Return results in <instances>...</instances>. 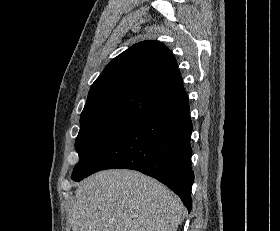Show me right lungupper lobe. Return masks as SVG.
Returning <instances> with one entry per match:
<instances>
[{"mask_svg": "<svg viewBox=\"0 0 280 231\" xmlns=\"http://www.w3.org/2000/svg\"><path fill=\"white\" fill-rule=\"evenodd\" d=\"M188 101L170 50L161 42L143 41L105 67L90 88L80 119L128 118L140 122Z\"/></svg>", "mask_w": 280, "mask_h": 231, "instance_id": "right-lung-upper-lobe-1", "label": "right lung upper lobe"}]
</instances>
